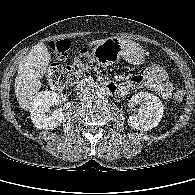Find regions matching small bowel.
I'll return each instance as SVG.
<instances>
[{"instance_id": "small-bowel-1", "label": "small bowel", "mask_w": 195, "mask_h": 195, "mask_svg": "<svg viewBox=\"0 0 195 195\" xmlns=\"http://www.w3.org/2000/svg\"><path fill=\"white\" fill-rule=\"evenodd\" d=\"M132 88L150 89L164 99H169L172 92V86L168 80L161 81L148 71L134 75L129 81L122 83L118 89V94L125 95Z\"/></svg>"}]
</instances>
